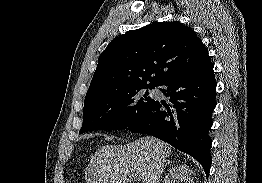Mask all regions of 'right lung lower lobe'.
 I'll return each mask as SVG.
<instances>
[{
    "label": "right lung lower lobe",
    "instance_id": "1",
    "mask_svg": "<svg viewBox=\"0 0 262 183\" xmlns=\"http://www.w3.org/2000/svg\"><path fill=\"white\" fill-rule=\"evenodd\" d=\"M213 63L176 74L158 86L168 101L153 100L127 127L152 135L195 158L208 176L212 144L208 131L211 113L216 106V81Z\"/></svg>",
    "mask_w": 262,
    "mask_h": 183
}]
</instances>
